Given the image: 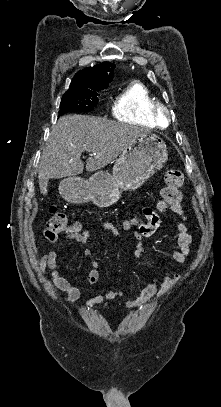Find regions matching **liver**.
Listing matches in <instances>:
<instances>
[{
  "mask_svg": "<svg viewBox=\"0 0 221 407\" xmlns=\"http://www.w3.org/2000/svg\"><path fill=\"white\" fill-rule=\"evenodd\" d=\"M149 131L138 126L87 115H65L52 127L43 150L38 178L60 179L83 173V151L92 153L86 170L104 168L135 139ZM95 154V155H94Z\"/></svg>",
  "mask_w": 221,
  "mask_h": 407,
  "instance_id": "liver-1",
  "label": "liver"
}]
</instances>
